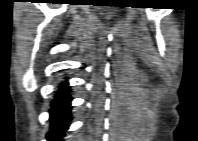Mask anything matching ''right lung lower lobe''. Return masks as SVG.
I'll list each match as a JSON object with an SVG mask.
<instances>
[{"label":"right lung lower lobe","instance_id":"98d812e1","mask_svg":"<svg viewBox=\"0 0 198 141\" xmlns=\"http://www.w3.org/2000/svg\"><path fill=\"white\" fill-rule=\"evenodd\" d=\"M69 82L65 81L57 86L55 97L51 102L49 140H60L68 129L71 117V101Z\"/></svg>","mask_w":198,"mask_h":141}]
</instances>
